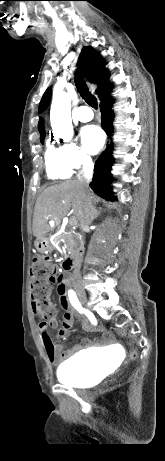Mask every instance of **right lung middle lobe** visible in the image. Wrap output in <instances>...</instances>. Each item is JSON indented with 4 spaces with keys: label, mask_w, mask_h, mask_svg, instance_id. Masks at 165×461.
<instances>
[{
    "label": "right lung middle lobe",
    "mask_w": 165,
    "mask_h": 461,
    "mask_svg": "<svg viewBox=\"0 0 165 461\" xmlns=\"http://www.w3.org/2000/svg\"><path fill=\"white\" fill-rule=\"evenodd\" d=\"M44 137H45V135L40 136L41 143H43Z\"/></svg>",
    "instance_id": "dd1d6c3e"
}]
</instances>
